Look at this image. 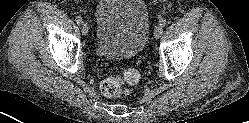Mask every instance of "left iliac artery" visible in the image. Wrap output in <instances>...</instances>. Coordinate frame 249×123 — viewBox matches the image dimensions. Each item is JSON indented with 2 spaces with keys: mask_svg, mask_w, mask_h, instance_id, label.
<instances>
[{
  "mask_svg": "<svg viewBox=\"0 0 249 123\" xmlns=\"http://www.w3.org/2000/svg\"><path fill=\"white\" fill-rule=\"evenodd\" d=\"M159 24L164 27L166 24H167V21L165 18H162L160 21H159Z\"/></svg>",
  "mask_w": 249,
  "mask_h": 123,
  "instance_id": "1",
  "label": "left iliac artery"
}]
</instances>
